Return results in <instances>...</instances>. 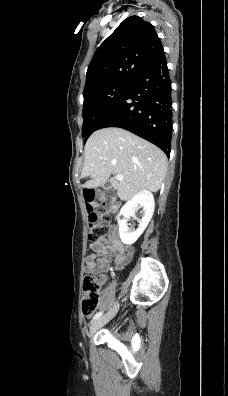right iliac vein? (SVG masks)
Listing matches in <instances>:
<instances>
[{"label": "right iliac vein", "mask_w": 228, "mask_h": 396, "mask_svg": "<svg viewBox=\"0 0 228 396\" xmlns=\"http://www.w3.org/2000/svg\"><path fill=\"white\" fill-rule=\"evenodd\" d=\"M119 304H116L109 312L94 320L89 328V337L92 336L100 327L109 322L117 313Z\"/></svg>", "instance_id": "right-iliac-vein-1"}]
</instances>
